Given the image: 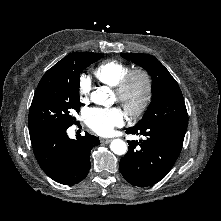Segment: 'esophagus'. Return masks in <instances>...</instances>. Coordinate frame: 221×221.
<instances>
[{
  "label": "esophagus",
  "mask_w": 221,
  "mask_h": 221,
  "mask_svg": "<svg viewBox=\"0 0 221 221\" xmlns=\"http://www.w3.org/2000/svg\"><path fill=\"white\" fill-rule=\"evenodd\" d=\"M100 141H101V143L108 144V143L111 141V139H108V138H101Z\"/></svg>",
  "instance_id": "esophagus-1"
}]
</instances>
